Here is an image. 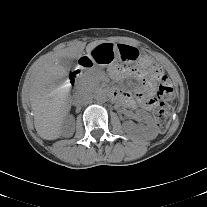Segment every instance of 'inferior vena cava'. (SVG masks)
<instances>
[{
	"instance_id": "obj_1",
	"label": "inferior vena cava",
	"mask_w": 207,
	"mask_h": 207,
	"mask_svg": "<svg viewBox=\"0 0 207 207\" xmlns=\"http://www.w3.org/2000/svg\"><path fill=\"white\" fill-rule=\"evenodd\" d=\"M93 99V94L88 90H81L79 91L75 97V103L77 105H86L89 104Z\"/></svg>"
}]
</instances>
